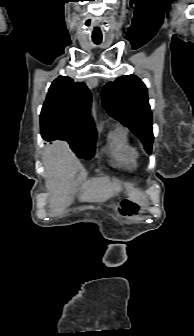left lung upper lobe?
I'll list each match as a JSON object with an SVG mask.
<instances>
[{
	"label": "left lung upper lobe",
	"mask_w": 194,
	"mask_h": 336,
	"mask_svg": "<svg viewBox=\"0 0 194 336\" xmlns=\"http://www.w3.org/2000/svg\"><path fill=\"white\" fill-rule=\"evenodd\" d=\"M102 103L108 114L134 132L150 152L153 143L152 113L145 84L134 75L108 82L102 90Z\"/></svg>",
	"instance_id": "5c2ea615"
}]
</instances>
